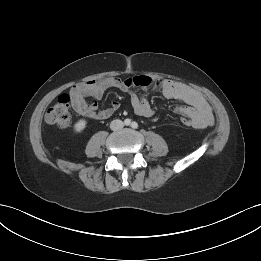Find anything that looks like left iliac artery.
<instances>
[{
  "label": "left iliac artery",
  "instance_id": "1",
  "mask_svg": "<svg viewBox=\"0 0 261 261\" xmlns=\"http://www.w3.org/2000/svg\"><path fill=\"white\" fill-rule=\"evenodd\" d=\"M131 127L134 128V129L138 128V123L137 122H132L131 123Z\"/></svg>",
  "mask_w": 261,
  "mask_h": 261
}]
</instances>
